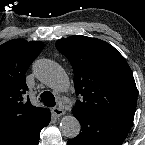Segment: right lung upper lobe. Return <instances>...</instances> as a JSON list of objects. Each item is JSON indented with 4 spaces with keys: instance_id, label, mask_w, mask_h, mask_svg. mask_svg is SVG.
<instances>
[{
    "instance_id": "right-lung-upper-lobe-1",
    "label": "right lung upper lobe",
    "mask_w": 145,
    "mask_h": 145,
    "mask_svg": "<svg viewBox=\"0 0 145 145\" xmlns=\"http://www.w3.org/2000/svg\"><path fill=\"white\" fill-rule=\"evenodd\" d=\"M42 42L10 40L0 46V141L48 110L23 100L28 90L25 73L42 51Z\"/></svg>"
}]
</instances>
